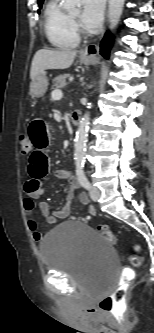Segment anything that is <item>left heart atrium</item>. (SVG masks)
<instances>
[{
  "instance_id": "39dd6f15",
  "label": "left heart atrium",
  "mask_w": 154,
  "mask_h": 333,
  "mask_svg": "<svg viewBox=\"0 0 154 333\" xmlns=\"http://www.w3.org/2000/svg\"><path fill=\"white\" fill-rule=\"evenodd\" d=\"M105 0H83L81 21L88 29L99 26L104 13Z\"/></svg>"
}]
</instances>
